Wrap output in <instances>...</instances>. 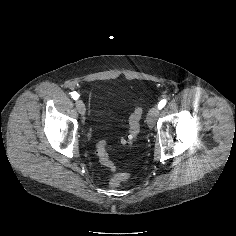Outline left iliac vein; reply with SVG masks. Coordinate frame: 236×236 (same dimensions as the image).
Segmentation results:
<instances>
[{"instance_id":"obj_1","label":"left iliac vein","mask_w":236,"mask_h":236,"mask_svg":"<svg viewBox=\"0 0 236 236\" xmlns=\"http://www.w3.org/2000/svg\"><path fill=\"white\" fill-rule=\"evenodd\" d=\"M158 116H159V108L158 107L151 108L147 114V124L149 126H153Z\"/></svg>"}]
</instances>
